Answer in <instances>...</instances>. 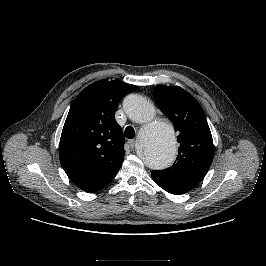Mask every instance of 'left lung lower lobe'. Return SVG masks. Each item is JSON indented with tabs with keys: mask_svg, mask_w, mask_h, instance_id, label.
<instances>
[{
	"mask_svg": "<svg viewBox=\"0 0 266 266\" xmlns=\"http://www.w3.org/2000/svg\"><path fill=\"white\" fill-rule=\"evenodd\" d=\"M151 176L156 184H158L161 188H163L169 193L180 195L189 191L186 188L180 187L178 185L173 184L172 182H169L161 178L160 176L156 175L153 171L151 173Z\"/></svg>",
	"mask_w": 266,
	"mask_h": 266,
	"instance_id": "1",
	"label": "left lung lower lobe"
}]
</instances>
